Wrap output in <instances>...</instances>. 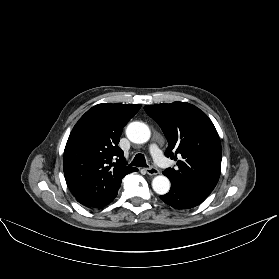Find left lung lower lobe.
Returning a JSON list of instances; mask_svg holds the SVG:
<instances>
[{
  "mask_svg": "<svg viewBox=\"0 0 279 279\" xmlns=\"http://www.w3.org/2000/svg\"><path fill=\"white\" fill-rule=\"evenodd\" d=\"M208 196L188 189L186 187L171 183L170 191L160 196L168 205L176 209H189L201 204Z\"/></svg>",
  "mask_w": 279,
  "mask_h": 279,
  "instance_id": "1",
  "label": "left lung lower lobe"
}]
</instances>
